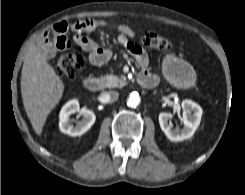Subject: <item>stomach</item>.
<instances>
[{
	"instance_id": "stomach-1",
	"label": "stomach",
	"mask_w": 245,
	"mask_h": 195,
	"mask_svg": "<svg viewBox=\"0 0 245 195\" xmlns=\"http://www.w3.org/2000/svg\"><path fill=\"white\" fill-rule=\"evenodd\" d=\"M163 69L166 78L178 88L191 87L195 82V74L190 66L172 55L164 59Z\"/></svg>"
}]
</instances>
